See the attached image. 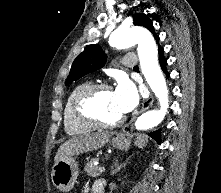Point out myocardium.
I'll return each mask as SVG.
<instances>
[{
    "label": "myocardium",
    "instance_id": "myocardium-1",
    "mask_svg": "<svg viewBox=\"0 0 221 193\" xmlns=\"http://www.w3.org/2000/svg\"><path fill=\"white\" fill-rule=\"evenodd\" d=\"M112 90V87L105 82L88 84L76 96L73 103V110L77 119L85 124L99 128H115L120 126L125 117L114 121L103 119L96 109V102L104 91Z\"/></svg>",
    "mask_w": 221,
    "mask_h": 193
}]
</instances>
